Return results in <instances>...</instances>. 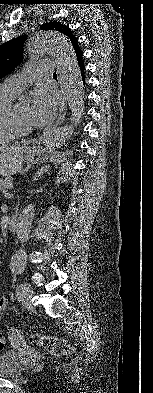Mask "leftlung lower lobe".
Segmentation results:
<instances>
[{"mask_svg":"<svg viewBox=\"0 0 153 393\" xmlns=\"http://www.w3.org/2000/svg\"><path fill=\"white\" fill-rule=\"evenodd\" d=\"M76 57H77V62L81 71V76H82V80L85 84V80H84V69H85V65H84V61L82 60V52H77L76 53Z\"/></svg>","mask_w":153,"mask_h":393,"instance_id":"1","label":"left lung lower lobe"}]
</instances>
